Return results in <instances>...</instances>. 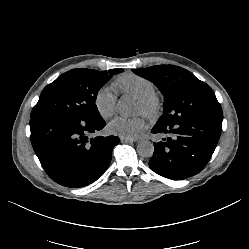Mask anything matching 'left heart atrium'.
Here are the masks:
<instances>
[{"label":"left heart atrium","instance_id":"left-heart-atrium-1","mask_svg":"<svg viewBox=\"0 0 249 249\" xmlns=\"http://www.w3.org/2000/svg\"><path fill=\"white\" fill-rule=\"evenodd\" d=\"M145 128V121L142 117H126L118 115L108 124V130L113 135L133 138L138 136Z\"/></svg>","mask_w":249,"mask_h":249}]
</instances>
